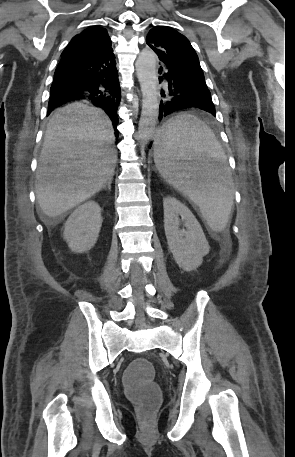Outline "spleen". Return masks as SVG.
<instances>
[{
    "label": "spleen",
    "mask_w": 295,
    "mask_h": 457,
    "mask_svg": "<svg viewBox=\"0 0 295 457\" xmlns=\"http://www.w3.org/2000/svg\"><path fill=\"white\" fill-rule=\"evenodd\" d=\"M154 162L161 176L200 208L211 230L225 229L234 183L225 153L205 123L188 113L171 118L159 131Z\"/></svg>",
    "instance_id": "1"
}]
</instances>
